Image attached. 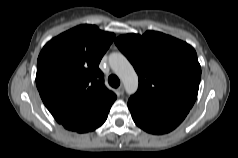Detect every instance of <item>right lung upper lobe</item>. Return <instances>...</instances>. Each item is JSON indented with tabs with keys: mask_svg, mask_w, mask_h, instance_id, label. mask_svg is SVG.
<instances>
[{
	"mask_svg": "<svg viewBox=\"0 0 238 158\" xmlns=\"http://www.w3.org/2000/svg\"><path fill=\"white\" fill-rule=\"evenodd\" d=\"M115 34L80 25L50 40L37 61L36 85L51 114L107 108L116 95L104 85L99 63Z\"/></svg>",
	"mask_w": 238,
	"mask_h": 158,
	"instance_id": "obj_1",
	"label": "right lung upper lobe"
}]
</instances>
